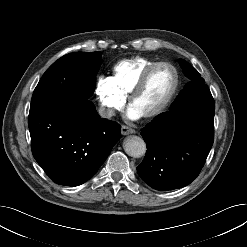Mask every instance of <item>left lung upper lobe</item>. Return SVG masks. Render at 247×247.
<instances>
[{
    "label": "left lung upper lobe",
    "instance_id": "5c2ea615",
    "mask_svg": "<svg viewBox=\"0 0 247 247\" xmlns=\"http://www.w3.org/2000/svg\"><path fill=\"white\" fill-rule=\"evenodd\" d=\"M180 65L185 75L191 80L184 89L180 92L173 104L180 102L182 99L187 97L189 94L194 92L196 89L204 85V79L200 78V74L195 68H193L188 62L183 59L179 60Z\"/></svg>",
    "mask_w": 247,
    "mask_h": 247
}]
</instances>
